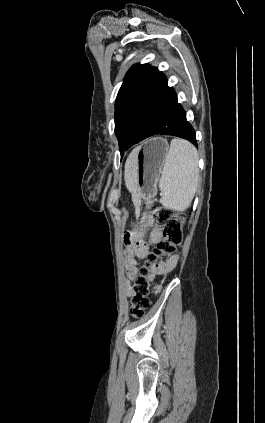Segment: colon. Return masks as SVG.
Masks as SVG:
<instances>
[{"instance_id":"colon-1","label":"colon","mask_w":265,"mask_h":423,"mask_svg":"<svg viewBox=\"0 0 265 423\" xmlns=\"http://www.w3.org/2000/svg\"><path fill=\"white\" fill-rule=\"evenodd\" d=\"M146 218L149 225L162 229V237L148 253L147 264L142 267L140 274L131 285L130 313L137 319L144 316L150 305L149 282L146 278L149 265L156 263L163 255L173 254L183 240L182 218L175 216L169 209H155L151 214L146 215ZM144 230L145 226H142L138 230L124 235V243L127 249L139 244Z\"/></svg>"}]
</instances>
